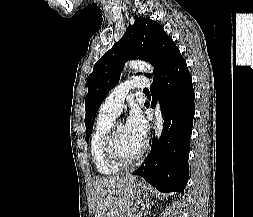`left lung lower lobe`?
Segmentation results:
<instances>
[{
    "mask_svg": "<svg viewBox=\"0 0 253 217\" xmlns=\"http://www.w3.org/2000/svg\"><path fill=\"white\" fill-rule=\"evenodd\" d=\"M160 99L164 116L162 136L153 135L150 155L133 175L159 191H184L189 177V140L194 118V90L186 61L178 54L150 87ZM155 105V101L151 106ZM148 107L149 105L146 104Z\"/></svg>",
    "mask_w": 253,
    "mask_h": 217,
    "instance_id": "0a47b994",
    "label": "left lung lower lobe"
}]
</instances>
